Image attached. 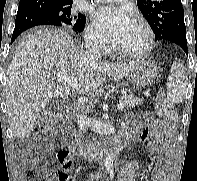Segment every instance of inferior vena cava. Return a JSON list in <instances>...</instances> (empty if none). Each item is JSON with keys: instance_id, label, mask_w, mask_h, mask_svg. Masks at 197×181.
<instances>
[{"instance_id": "602c4592", "label": "inferior vena cava", "mask_w": 197, "mask_h": 181, "mask_svg": "<svg viewBox=\"0 0 197 181\" xmlns=\"http://www.w3.org/2000/svg\"><path fill=\"white\" fill-rule=\"evenodd\" d=\"M85 54L91 61L99 60L101 57L99 37L96 33L86 34ZM88 120L85 115L77 116L78 136L82 138V134L86 132Z\"/></svg>"}]
</instances>
